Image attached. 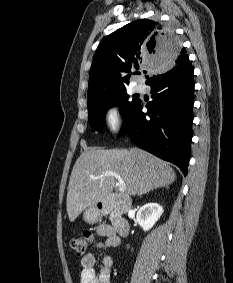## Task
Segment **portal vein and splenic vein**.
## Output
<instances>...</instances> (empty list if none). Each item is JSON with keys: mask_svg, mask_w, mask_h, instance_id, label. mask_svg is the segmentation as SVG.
Here are the masks:
<instances>
[{"mask_svg": "<svg viewBox=\"0 0 233 283\" xmlns=\"http://www.w3.org/2000/svg\"><path fill=\"white\" fill-rule=\"evenodd\" d=\"M104 176H113V177H115L118 180V189H119V191L120 192L125 191L126 185L124 184V182L122 181L121 177L117 173H115L113 171H106V172H103L102 175H101V177H104ZM90 178L91 179H97L98 177L97 176H91Z\"/></svg>", "mask_w": 233, "mask_h": 283, "instance_id": "portal-vein-and-splenic-vein-1", "label": "portal vein and splenic vein"}]
</instances>
